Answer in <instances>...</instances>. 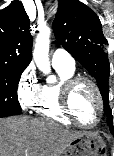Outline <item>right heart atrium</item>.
<instances>
[{
  "label": "right heart atrium",
  "instance_id": "d8ad5b80",
  "mask_svg": "<svg viewBox=\"0 0 114 156\" xmlns=\"http://www.w3.org/2000/svg\"><path fill=\"white\" fill-rule=\"evenodd\" d=\"M41 87L34 68L26 67L20 74L16 87L19 104L24 110L34 107L40 96Z\"/></svg>",
  "mask_w": 114,
  "mask_h": 156
}]
</instances>
